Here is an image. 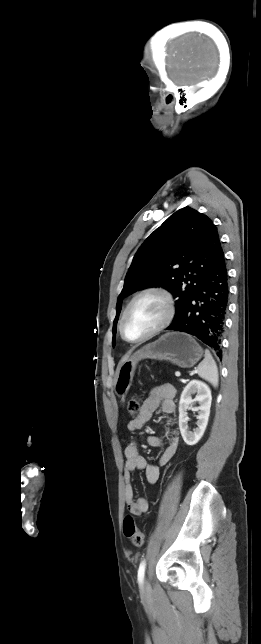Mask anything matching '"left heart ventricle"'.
<instances>
[{"mask_svg":"<svg viewBox=\"0 0 261 644\" xmlns=\"http://www.w3.org/2000/svg\"><path fill=\"white\" fill-rule=\"evenodd\" d=\"M165 312V302L160 296L149 294L139 298L128 313L126 336L132 340L145 336L161 323Z\"/></svg>","mask_w":261,"mask_h":644,"instance_id":"1","label":"left heart ventricle"}]
</instances>
